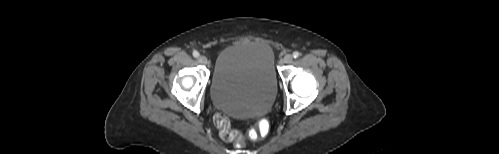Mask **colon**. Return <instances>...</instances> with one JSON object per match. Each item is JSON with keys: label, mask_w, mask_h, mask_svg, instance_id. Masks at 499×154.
Wrapping results in <instances>:
<instances>
[{"label": "colon", "mask_w": 499, "mask_h": 154, "mask_svg": "<svg viewBox=\"0 0 499 154\" xmlns=\"http://www.w3.org/2000/svg\"><path fill=\"white\" fill-rule=\"evenodd\" d=\"M214 124L220 129L221 137L228 142H233L237 147L245 145L248 138L263 137L268 132V125L261 123L257 130L243 133L232 128L229 118L222 114L216 113L213 116Z\"/></svg>", "instance_id": "colon-1"}]
</instances>
